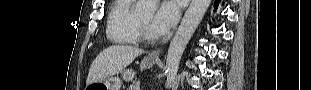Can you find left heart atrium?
<instances>
[{
	"label": "left heart atrium",
	"mask_w": 311,
	"mask_h": 90,
	"mask_svg": "<svg viewBox=\"0 0 311 90\" xmlns=\"http://www.w3.org/2000/svg\"><path fill=\"white\" fill-rule=\"evenodd\" d=\"M180 16L179 1L167 0L161 3L151 21V29L162 35L171 30L177 23Z\"/></svg>",
	"instance_id": "left-heart-atrium-1"
}]
</instances>
